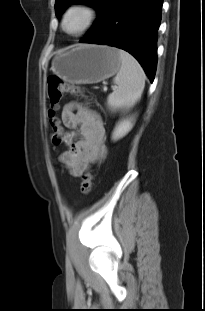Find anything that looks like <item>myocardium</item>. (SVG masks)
<instances>
[{
  "mask_svg": "<svg viewBox=\"0 0 205 311\" xmlns=\"http://www.w3.org/2000/svg\"><path fill=\"white\" fill-rule=\"evenodd\" d=\"M77 9L83 10L86 13L87 15L86 23L80 30L76 32H69L66 29V21H67L68 15L71 11L77 10ZM97 17H98V11L91 4L85 1H75L71 3L65 9L63 13L62 21H61V27H62V30L69 36H74V37L80 36L92 28V26L97 20Z\"/></svg>",
  "mask_w": 205,
  "mask_h": 311,
  "instance_id": "obj_1",
  "label": "myocardium"
}]
</instances>
